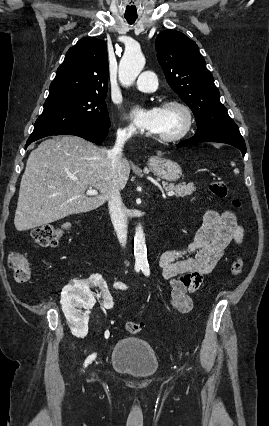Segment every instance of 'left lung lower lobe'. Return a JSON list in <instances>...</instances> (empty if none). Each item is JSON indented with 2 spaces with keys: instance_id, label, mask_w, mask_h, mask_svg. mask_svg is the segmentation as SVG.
<instances>
[{
  "instance_id": "0a47b994",
  "label": "left lung lower lobe",
  "mask_w": 269,
  "mask_h": 426,
  "mask_svg": "<svg viewBox=\"0 0 269 426\" xmlns=\"http://www.w3.org/2000/svg\"><path fill=\"white\" fill-rule=\"evenodd\" d=\"M200 142H220L230 144L238 148L244 157L246 153V145L238 126L229 118L217 121L214 125L200 126L197 128L195 135L185 141L180 142L177 146H185Z\"/></svg>"
}]
</instances>
